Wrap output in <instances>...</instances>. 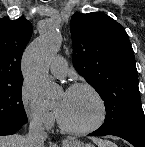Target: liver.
<instances>
[{
	"label": "liver",
	"instance_id": "obj_1",
	"mask_svg": "<svg viewBox=\"0 0 145 147\" xmlns=\"http://www.w3.org/2000/svg\"><path fill=\"white\" fill-rule=\"evenodd\" d=\"M100 147L111 145V142L94 140ZM25 138L20 135L0 136V147H26ZM114 145V144H113ZM113 147H116L114 145Z\"/></svg>",
	"mask_w": 145,
	"mask_h": 147
}]
</instances>
